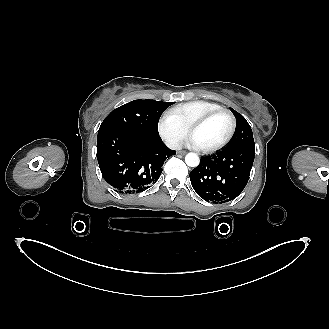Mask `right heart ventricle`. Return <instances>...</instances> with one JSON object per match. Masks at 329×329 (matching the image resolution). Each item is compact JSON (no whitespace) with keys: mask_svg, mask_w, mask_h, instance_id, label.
Here are the masks:
<instances>
[{"mask_svg":"<svg viewBox=\"0 0 329 329\" xmlns=\"http://www.w3.org/2000/svg\"><path fill=\"white\" fill-rule=\"evenodd\" d=\"M221 108L222 106L215 102L195 100L179 104L171 108L168 112L175 116L179 122L188 129L190 124L195 120Z\"/></svg>","mask_w":329,"mask_h":329,"instance_id":"right-heart-ventricle-1","label":"right heart ventricle"}]
</instances>
